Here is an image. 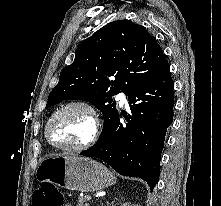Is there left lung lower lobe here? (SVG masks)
<instances>
[{
  "instance_id": "obj_1",
  "label": "left lung lower lobe",
  "mask_w": 221,
  "mask_h": 206,
  "mask_svg": "<svg viewBox=\"0 0 221 206\" xmlns=\"http://www.w3.org/2000/svg\"><path fill=\"white\" fill-rule=\"evenodd\" d=\"M131 115L123 127L119 114L113 127L81 155L105 161L125 176L144 179L151 190L159 179L166 130L173 121V81L170 68L138 86L129 95Z\"/></svg>"
}]
</instances>
